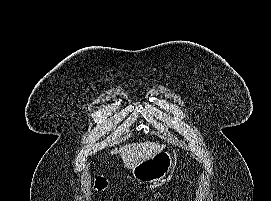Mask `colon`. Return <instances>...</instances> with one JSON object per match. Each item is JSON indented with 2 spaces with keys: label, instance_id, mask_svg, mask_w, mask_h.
<instances>
[{
  "label": "colon",
  "instance_id": "colon-1",
  "mask_svg": "<svg viewBox=\"0 0 271 201\" xmlns=\"http://www.w3.org/2000/svg\"><path fill=\"white\" fill-rule=\"evenodd\" d=\"M96 188L98 190H100V191L103 190L105 188V181L104 180H98L96 182Z\"/></svg>",
  "mask_w": 271,
  "mask_h": 201
}]
</instances>
